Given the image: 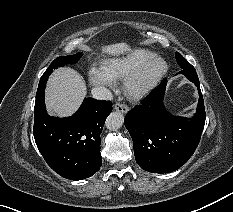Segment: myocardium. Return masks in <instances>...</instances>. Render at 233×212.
Wrapping results in <instances>:
<instances>
[{
  "instance_id": "f54148a6",
  "label": "myocardium",
  "mask_w": 233,
  "mask_h": 212,
  "mask_svg": "<svg viewBox=\"0 0 233 212\" xmlns=\"http://www.w3.org/2000/svg\"><path fill=\"white\" fill-rule=\"evenodd\" d=\"M158 65L156 72L147 80L145 75L149 69ZM168 70L167 62L161 56H153L133 70L124 81V91L133 100H140L151 93L162 80Z\"/></svg>"
}]
</instances>
